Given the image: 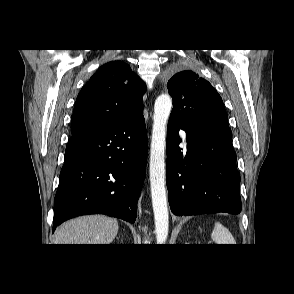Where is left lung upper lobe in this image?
Here are the masks:
<instances>
[{"label": "left lung upper lobe", "instance_id": "obj_1", "mask_svg": "<svg viewBox=\"0 0 294 294\" xmlns=\"http://www.w3.org/2000/svg\"><path fill=\"white\" fill-rule=\"evenodd\" d=\"M167 88L173 99L171 117L192 128L230 131L220 95L198 74L180 71L168 81Z\"/></svg>", "mask_w": 294, "mask_h": 294}]
</instances>
